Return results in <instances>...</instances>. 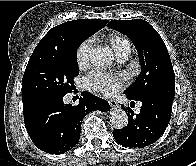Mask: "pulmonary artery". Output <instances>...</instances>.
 Wrapping results in <instances>:
<instances>
[{
  "instance_id": "e3ab8cb5",
  "label": "pulmonary artery",
  "mask_w": 196,
  "mask_h": 166,
  "mask_svg": "<svg viewBox=\"0 0 196 166\" xmlns=\"http://www.w3.org/2000/svg\"><path fill=\"white\" fill-rule=\"evenodd\" d=\"M130 55V49H123L116 53V58L119 62H124Z\"/></svg>"
}]
</instances>
